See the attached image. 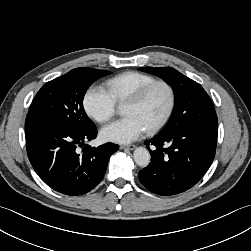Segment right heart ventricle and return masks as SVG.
Here are the masks:
<instances>
[{
    "label": "right heart ventricle",
    "mask_w": 251,
    "mask_h": 251,
    "mask_svg": "<svg viewBox=\"0 0 251 251\" xmlns=\"http://www.w3.org/2000/svg\"><path fill=\"white\" fill-rule=\"evenodd\" d=\"M155 80L154 76L146 73L127 71L109 79L106 85L116 103L124 104L139 89Z\"/></svg>",
    "instance_id": "obj_1"
}]
</instances>
